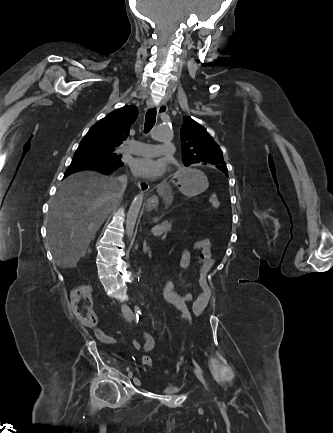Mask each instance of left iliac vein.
Returning a JSON list of instances; mask_svg holds the SVG:
<instances>
[{"label": "left iliac vein", "mask_w": 333, "mask_h": 433, "mask_svg": "<svg viewBox=\"0 0 333 433\" xmlns=\"http://www.w3.org/2000/svg\"><path fill=\"white\" fill-rule=\"evenodd\" d=\"M193 370H194V373H195L196 377L201 381V383L204 386H206V381H205V379L203 377L202 372L198 368H194Z\"/></svg>", "instance_id": "1"}]
</instances>
